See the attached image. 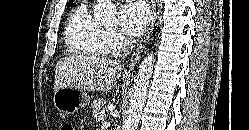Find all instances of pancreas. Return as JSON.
Instances as JSON below:
<instances>
[{
  "mask_svg": "<svg viewBox=\"0 0 249 130\" xmlns=\"http://www.w3.org/2000/svg\"><path fill=\"white\" fill-rule=\"evenodd\" d=\"M105 104H106V100L101 98L98 100H94L91 104V108H92V115L94 117L98 116L100 113H104L105 112Z\"/></svg>",
  "mask_w": 249,
  "mask_h": 130,
  "instance_id": "pancreas-1",
  "label": "pancreas"
}]
</instances>
